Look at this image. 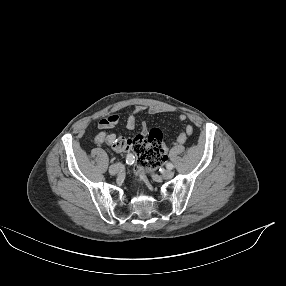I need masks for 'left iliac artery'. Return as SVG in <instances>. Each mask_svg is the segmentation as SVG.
Instances as JSON below:
<instances>
[{
  "instance_id": "1",
  "label": "left iliac artery",
  "mask_w": 286,
  "mask_h": 286,
  "mask_svg": "<svg viewBox=\"0 0 286 286\" xmlns=\"http://www.w3.org/2000/svg\"><path fill=\"white\" fill-rule=\"evenodd\" d=\"M167 169L172 170L174 168L172 163H167L166 165Z\"/></svg>"
}]
</instances>
